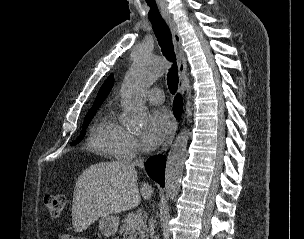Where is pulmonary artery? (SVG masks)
I'll list each match as a JSON object with an SVG mask.
<instances>
[{
	"instance_id": "1",
	"label": "pulmonary artery",
	"mask_w": 304,
	"mask_h": 239,
	"mask_svg": "<svg viewBox=\"0 0 304 239\" xmlns=\"http://www.w3.org/2000/svg\"><path fill=\"white\" fill-rule=\"evenodd\" d=\"M146 99L152 104H162L164 102V93L161 89L153 88L146 92Z\"/></svg>"
}]
</instances>
